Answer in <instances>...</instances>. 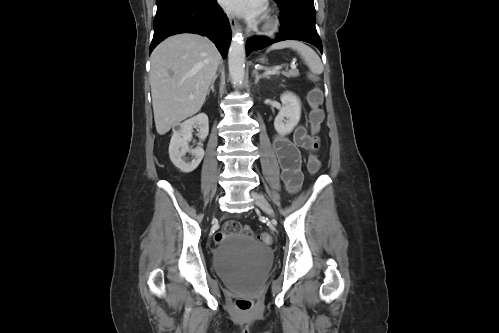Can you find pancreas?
<instances>
[{
	"label": "pancreas",
	"mask_w": 499,
	"mask_h": 333,
	"mask_svg": "<svg viewBox=\"0 0 499 333\" xmlns=\"http://www.w3.org/2000/svg\"><path fill=\"white\" fill-rule=\"evenodd\" d=\"M282 74L288 78L299 76V71L297 69H291L289 71L282 72Z\"/></svg>",
	"instance_id": "1"
}]
</instances>
